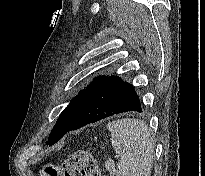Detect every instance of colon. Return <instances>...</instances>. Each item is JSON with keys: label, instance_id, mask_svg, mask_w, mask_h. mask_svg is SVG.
Segmentation results:
<instances>
[{"label": "colon", "instance_id": "1", "mask_svg": "<svg viewBox=\"0 0 205 176\" xmlns=\"http://www.w3.org/2000/svg\"><path fill=\"white\" fill-rule=\"evenodd\" d=\"M102 176L100 167L87 150L70 154L62 163L43 169L41 176Z\"/></svg>", "mask_w": 205, "mask_h": 176}]
</instances>
